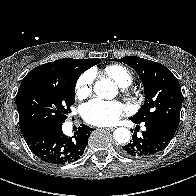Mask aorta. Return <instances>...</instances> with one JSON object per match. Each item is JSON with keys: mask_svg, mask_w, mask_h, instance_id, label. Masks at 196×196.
<instances>
[{"mask_svg": "<svg viewBox=\"0 0 196 196\" xmlns=\"http://www.w3.org/2000/svg\"><path fill=\"white\" fill-rule=\"evenodd\" d=\"M94 93L102 99H113L118 91L113 81L101 79L95 83ZM113 137L119 144H125L130 140L131 132L124 127L117 128L113 133Z\"/></svg>", "mask_w": 196, "mask_h": 196, "instance_id": "1", "label": "aorta"}]
</instances>
